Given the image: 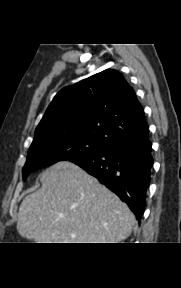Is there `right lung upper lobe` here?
<instances>
[{
	"mask_svg": "<svg viewBox=\"0 0 181 288\" xmlns=\"http://www.w3.org/2000/svg\"><path fill=\"white\" fill-rule=\"evenodd\" d=\"M148 125L133 88L122 74L107 69L63 88L35 130V140L85 136L105 147L141 142Z\"/></svg>",
	"mask_w": 181,
	"mask_h": 288,
	"instance_id": "1",
	"label": "right lung upper lobe"
}]
</instances>
